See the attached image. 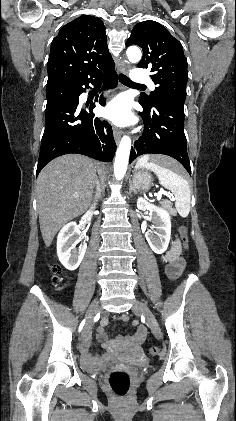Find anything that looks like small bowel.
<instances>
[{"label":"small bowel","instance_id":"1","mask_svg":"<svg viewBox=\"0 0 236 421\" xmlns=\"http://www.w3.org/2000/svg\"><path fill=\"white\" fill-rule=\"evenodd\" d=\"M173 248H175L177 251H179V248H180V243H179V241H178V240L174 243ZM142 333H143V329H142V328H140V329H139V332H138V335H141ZM87 339H90V336H87L86 340H87Z\"/></svg>","mask_w":236,"mask_h":421}]
</instances>
